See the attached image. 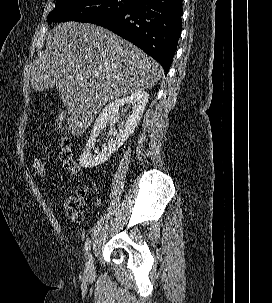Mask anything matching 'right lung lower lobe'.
<instances>
[{"mask_svg":"<svg viewBox=\"0 0 272 303\" xmlns=\"http://www.w3.org/2000/svg\"><path fill=\"white\" fill-rule=\"evenodd\" d=\"M182 15V0H136L127 10L92 23L141 48L167 74L181 34Z\"/></svg>","mask_w":272,"mask_h":303,"instance_id":"right-lung-lower-lobe-1","label":"right lung lower lobe"}]
</instances>
